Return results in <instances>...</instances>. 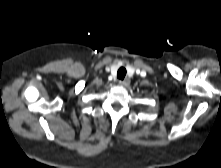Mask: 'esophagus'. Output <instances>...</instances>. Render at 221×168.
<instances>
[{"mask_svg":"<svg viewBox=\"0 0 221 168\" xmlns=\"http://www.w3.org/2000/svg\"><path fill=\"white\" fill-rule=\"evenodd\" d=\"M119 83L122 85V86H128L130 84V80L129 79H124L122 81H119Z\"/></svg>","mask_w":221,"mask_h":168,"instance_id":"1","label":"esophagus"}]
</instances>
